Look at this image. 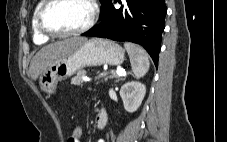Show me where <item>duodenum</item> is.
Listing matches in <instances>:
<instances>
[{"instance_id":"duodenum-1","label":"duodenum","mask_w":227,"mask_h":142,"mask_svg":"<svg viewBox=\"0 0 227 142\" xmlns=\"http://www.w3.org/2000/svg\"><path fill=\"white\" fill-rule=\"evenodd\" d=\"M108 114L104 108H102L96 116L95 124L98 129H103L107 123Z\"/></svg>"}]
</instances>
